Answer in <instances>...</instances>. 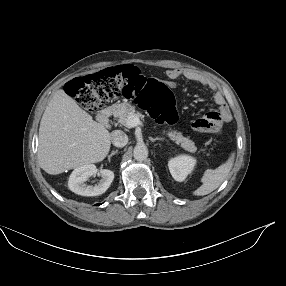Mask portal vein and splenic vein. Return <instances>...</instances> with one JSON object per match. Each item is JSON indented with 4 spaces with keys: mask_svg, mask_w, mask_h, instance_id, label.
<instances>
[{
    "mask_svg": "<svg viewBox=\"0 0 286 286\" xmlns=\"http://www.w3.org/2000/svg\"><path fill=\"white\" fill-rule=\"evenodd\" d=\"M127 124L129 127H135L138 125H140V126L143 125V123L140 121L139 117L136 114H131L128 117Z\"/></svg>",
    "mask_w": 286,
    "mask_h": 286,
    "instance_id": "obj_1",
    "label": "portal vein and splenic vein"
}]
</instances>
